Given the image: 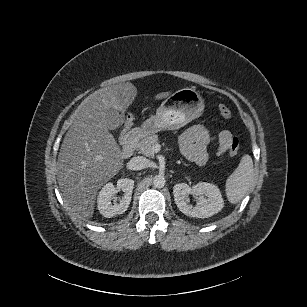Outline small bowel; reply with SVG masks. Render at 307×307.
<instances>
[{
  "label": "small bowel",
  "mask_w": 307,
  "mask_h": 307,
  "mask_svg": "<svg viewBox=\"0 0 307 307\" xmlns=\"http://www.w3.org/2000/svg\"><path fill=\"white\" fill-rule=\"evenodd\" d=\"M235 137L229 130L218 133L208 130L202 125H194L187 129L179 138L182 155L189 161L203 166L208 162V146L217 141V156H222L229 148Z\"/></svg>",
  "instance_id": "small-bowel-1"
}]
</instances>
